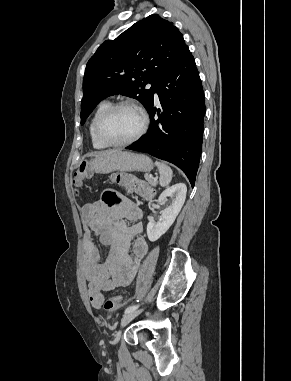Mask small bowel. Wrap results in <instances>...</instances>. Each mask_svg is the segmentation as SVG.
<instances>
[{
	"label": "small bowel",
	"mask_w": 291,
	"mask_h": 381,
	"mask_svg": "<svg viewBox=\"0 0 291 381\" xmlns=\"http://www.w3.org/2000/svg\"><path fill=\"white\" fill-rule=\"evenodd\" d=\"M84 229L81 267L88 281V295L93 307L103 304L102 292L128 285L148 251L142 237L141 209L127 199L114 202L112 194L81 208ZM128 221L134 222L129 225ZM109 247L105 262L101 261L98 246L92 236ZM130 249L132 254L130 253Z\"/></svg>",
	"instance_id": "c3829d8e"
}]
</instances>
